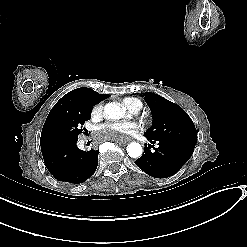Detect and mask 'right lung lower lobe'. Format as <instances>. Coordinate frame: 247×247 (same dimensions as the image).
Returning <instances> with one entry per match:
<instances>
[{"mask_svg": "<svg viewBox=\"0 0 247 247\" xmlns=\"http://www.w3.org/2000/svg\"><path fill=\"white\" fill-rule=\"evenodd\" d=\"M76 142L41 149L49 172L59 181L83 183L96 171L98 150L84 152Z\"/></svg>", "mask_w": 247, "mask_h": 247, "instance_id": "obj_1", "label": "right lung lower lobe"}]
</instances>
